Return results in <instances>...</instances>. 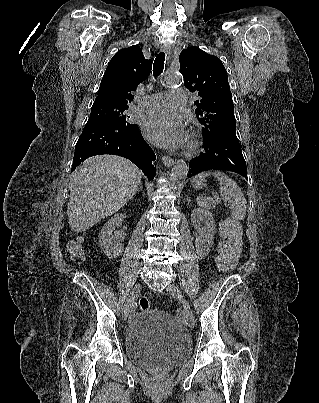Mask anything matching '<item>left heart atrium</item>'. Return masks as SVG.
<instances>
[{
    "label": "left heart atrium",
    "mask_w": 319,
    "mask_h": 403,
    "mask_svg": "<svg viewBox=\"0 0 319 403\" xmlns=\"http://www.w3.org/2000/svg\"><path fill=\"white\" fill-rule=\"evenodd\" d=\"M145 137L164 148H178L186 141L185 126L181 117L173 112L148 115L142 123Z\"/></svg>",
    "instance_id": "1"
}]
</instances>
